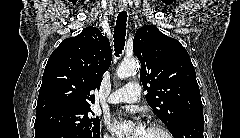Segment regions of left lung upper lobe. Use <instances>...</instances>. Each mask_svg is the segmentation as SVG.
<instances>
[{
  "label": "left lung upper lobe",
  "instance_id": "5c2ea615",
  "mask_svg": "<svg viewBox=\"0 0 240 138\" xmlns=\"http://www.w3.org/2000/svg\"><path fill=\"white\" fill-rule=\"evenodd\" d=\"M133 51L147 103L171 132L187 119L203 117L195 69L178 40L148 25L137 30Z\"/></svg>",
  "mask_w": 240,
  "mask_h": 138
}]
</instances>
